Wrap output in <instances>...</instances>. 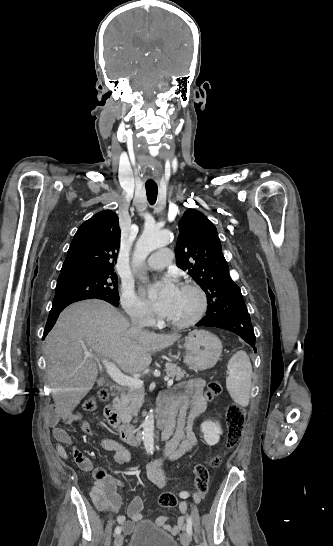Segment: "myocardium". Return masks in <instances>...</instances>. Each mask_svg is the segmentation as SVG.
I'll use <instances>...</instances> for the list:
<instances>
[{
  "label": "myocardium",
  "mask_w": 333,
  "mask_h": 546,
  "mask_svg": "<svg viewBox=\"0 0 333 546\" xmlns=\"http://www.w3.org/2000/svg\"><path fill=\"white\" fill-rule=\"evenodd\" d=\"M181 288L192 291L196 295L198 303L195 312L188 319L183 321H174L169 318L167 319L168 325L176 329L189 328L198 323L206 313L208 306L207 295L197 283L187 280L181 284Z\"/></svg>",
  "instance_id": "myocardium-1"
}]
</instances>
